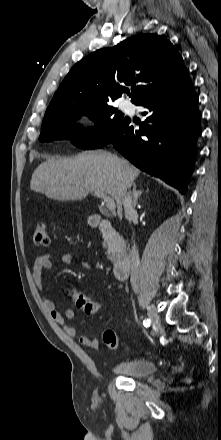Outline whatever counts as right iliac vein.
Masks as SVG:
<instances>
[{"instance_id": "1", "label": "right iliac vein", "mask_w": 221, "mask_h": 440, "mask_svg": "<svg viewBox=\"0 0 221 440\" xmlns=\"http://www.w3.org/2000/svg\"><path fill=\"white\" fill-rule=\"evenodd\" d=\"M148 317L150 319V321L152 322L153 327L159 328L160 326V317L156 311V309L153 306H150L148 308Z\"/></svg>"}]
</instances>
